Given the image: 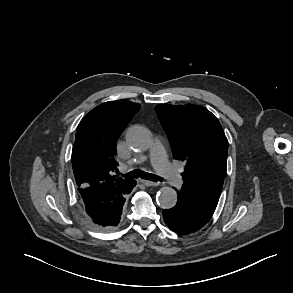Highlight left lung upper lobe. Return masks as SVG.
<instances>
[{"label": "left lung upper lobe", "instance_id": "1", "mask_svg": "<svg viewBox=\"0 0 293 293\" xmlns=\"http://www.w3.org/2000/svg\"><path fill=\"white\" fill-rule=\"evenodd\" d=\"M155 111L174 159L185 165L181 191L216 208L228 153V140L218 119L206 108L192 104H160Z\"/></svg>", "mask_w": 293, "mask_h": 293}]
</instances>
